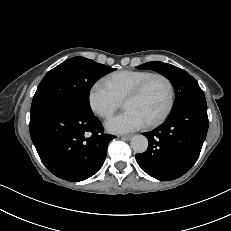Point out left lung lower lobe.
<instances>
[{
  "mask_svg": "<svg viewBox=\"0 0 231 231\" xmlns=\"http://www.w3.org/2000/svg\"><path fill=\"white\" fill-rule=\"evenodd\" d=\"M208 125L204 93L186 96L161 126L144 133L149 146L135 155L138 165L158 180L181 177L198 159Z\"/></svg>",
  "mask_w": 231,
  "mask_h": 231,
  "instance_id": "0a47b994",
  "label": "left lung lower lobe"
}]
</instances>
